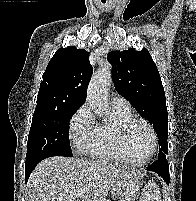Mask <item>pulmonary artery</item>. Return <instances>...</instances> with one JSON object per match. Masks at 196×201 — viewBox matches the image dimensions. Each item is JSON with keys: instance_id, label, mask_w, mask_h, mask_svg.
I'll list each match as a JSON object with an SVG mask.
<instances>
[{"instance_id": "e3ab8cb5", "label": "pulmonary artery", "mask_w": 196, "mask_h": 201, "mask_svg": "<svg viewBox=\"0 0 196 201\" xmlns=\"http://www.w3.org/2000/svg\"><path fill=\"white\" fill-rule=\"evenodd\" d=\"M112 106L115 108H119V109H130V104L129 102L120 96H115L112 98Z\"/></svg>"}]
</instances>
